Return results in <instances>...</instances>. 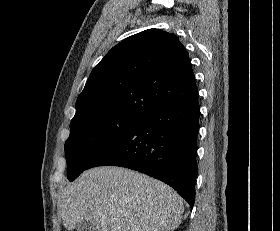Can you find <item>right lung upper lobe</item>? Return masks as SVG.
Returning a JSON list of instances; mask_svg holds the SVG:
<instances>
[{"label":"right lung upper lobe","instance_id":"cb5924a9","mask_svg":"<svg viewBox=\"0 0 280 231\" xmlns=\"http://www.w3.org/2000/svg\"><path fill=\"white\" fill-rule=\"evenodd\" d=\"M198 95L188 53L177 36L148 29L128 37L94 67L76 101L80 118H142Z\"/></svg>","mask_w":280,"mask_h":231}]
</instances>
